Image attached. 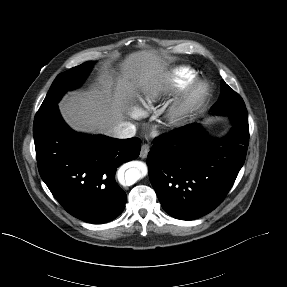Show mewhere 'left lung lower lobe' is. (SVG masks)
<instances>
[{
  "instance_id": "left-lung-lower-lobe-1",
  "label": "left lung lower lobe",
  "mask_w": 287,
  "mask_h": 287,
  "mask_svg": "<svg viewBox=\"0 0 287 287\" xmlns=\"http://www.w3.org/2000/svg\"><path fill=\"white\" fill-rule=\"evenodd\" d=\"M223 139L198 124L174 129L153 141L149 177L162 208L172 217L193 220L214 210L242 168L249 143L248 122H234Z\"/></svg>"
}]
</instances>
